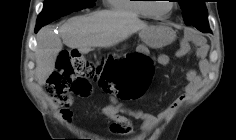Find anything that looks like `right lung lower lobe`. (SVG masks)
<instances>
[{"label":"right lung lower lobe","mask_w":236,"mask_h":140,"mask_svg":"<svg viewBox=\"0 0 236 140\" xmlns=\"http://www.w3.org/2000/svg\"><path fill=\"white\" fill-rule=\"evenodd\" d=\"M41 27H36L35 28V32H37Z\"/></svg>","instance_id":"right-lung-lower-lobe-1"}]
</instances>
